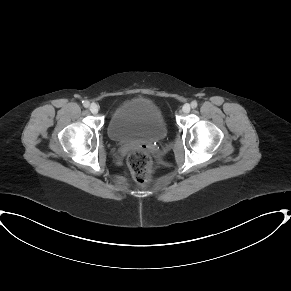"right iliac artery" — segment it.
<instances>
[{
	"label": "right iliac artery",
	"instance_id": "right-iliac-artery-1",
	"mask_svg": "<svg viewBox=\"0 0 291 291\" xmlns=\"http://www.w3.org/2000/svg\"><path fill=\"white\" fill-rule=\"evenodd\" d=\"M82 103H83V106H84L85 108H88L89 105H90L89 101H87V100L83 101Z\"/></svg>",
	"mask_w": 291,
	"mask_h": 291
}]
</instances>
